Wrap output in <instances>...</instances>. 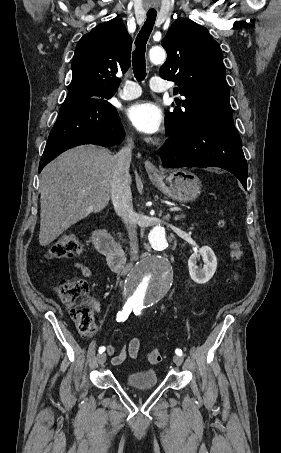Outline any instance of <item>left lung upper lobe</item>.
I'll list each match as a JSON object with an SVG mask.
<instances>
[{
    "mask_svg": "<svg viewBox=\"0 0 281 453\" xmlns=\"http://www.w3.org/2000/svg\"><path fill=\"white\" fill-rule=\"evenodd\" d=\"M162 46L167 60L160 76L175 81V93L185 96L184 100L176 99L180 107L165 117L168 136L206 121L232 118L221 48L208 30L190 19L178 18Z\"/></svg>",
    "mask_w": 281,
    "mask_h": 453,
    "instance_id": "obj_1",
    "label": "left lung upper lobe"
}]
</instances>
